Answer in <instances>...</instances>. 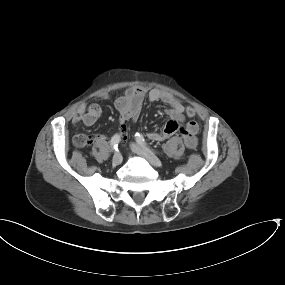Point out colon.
<instances>
[{
    "label": "colon",
    "mask_w": 285,
    "mask_h": 285,
    "mask_svg": "<svg viewBox=\"0 0 285 285\" xmlns=\"http://www.w3.org/2000/svg\"><path fill=\"white\" fill-rule=\"evenodd\" d=\"M186 114L188 116H194L195 109L192 106H188L186 108ZM74 144L79 148L86 147L90 144V138L86 134H78L74 138Z\"/></svg>",
    "instance_id": "obj_1"
}]
</instances>
